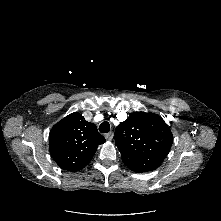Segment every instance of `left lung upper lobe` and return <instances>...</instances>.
Returning a JSON list of instances; mask_svg holds the SVG:
<instances>
[{"label": "left lung upper lobe", "mask_w": 221, "mask_h": 221, "mask_svg": "<svg viewBox=\"0 0 221 221\" xmlns=\"http://www.w3.org/2000/svg\"><path fill=\"white\" fill-rule=\"evenodd\" d=\"M173 135L161 116L134 112L115 130V145L123 163L137 173L158 168L167 156Z\"/></svg>", "instance_id": "5c2ea615"}]
</instances>
